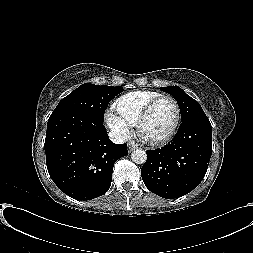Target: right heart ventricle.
Instances as JSON below:
<instances>
[{
  "instance_id": "right-heart-ventricle-1",
  "label": "right heart ventricle",
  "mask_w": 253,
  "mask_h": 253,
  "mask_svg": "<svg viewBox=\"0 0 253 253\" xmlns=\"http://www.w3.org/2000/svg\"><path fill=\"white\" fill-rule=\"evenodd\" d=\"M163 94L156 91H132L119 97L114 103L116 113L130 126H135L144 108Z\"/></svg>"
}]
</instances>
